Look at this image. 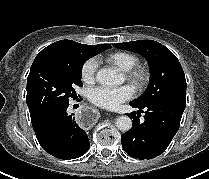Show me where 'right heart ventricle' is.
<instances>
[{"instance_id": "e07e8e85", "label": "right heart ventricle", "mask_w": 209, "mask_h": 179, "mask_svg": "<svg viewBox=\"0 0 209 179\" xmlns=\"http://www.w3.org/2000/svg\"><path fill=\"white\" fill-rule=\"evenodd\" d=\"M104 60L108 64L116 67L123 72L130 70L138 63L137 56L126 51H115L109 53L104 57Z\"/></svg>"}]
</instances>
